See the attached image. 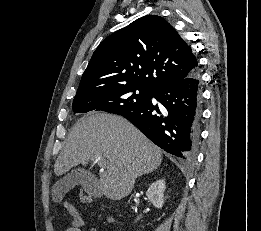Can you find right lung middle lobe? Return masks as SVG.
<instances>
[{
	"label": "right lung middle lobe",
	"instance_id": "obj_1",
	"mask_svg": "<svg viewBox=\"0 0 261 231\" xmlns=\"http://www.w3.org/2000/svg\"><path fill=\"white\" fill-rule=\"evenodd\" d=\"M151 94L148 89L128 85L75 96L72 106L74 113L101 110L122 115L147 104Z\"/></svg>",
	"mask_w": 261,
	"mask_h": 231
}]
</instances>
